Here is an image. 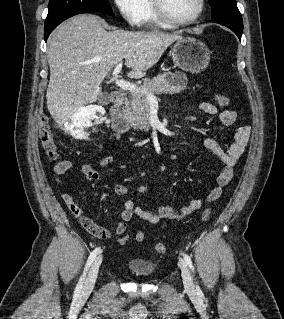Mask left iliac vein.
<instances>
[{"label": "left iliac vein", "instance_id": "left-iliac-vein-1", "mask_svg": "<svg viewBox=\"0 0 284 319\" xmlns=\"http://www.w3.org/2000/svg\"><path fill=\"white\" fill-rule=\"evenodd\" d=\"M179 266L181 269V274H182V280L184 284V288L188 293H195V287L193 283V279L190 273V270L186 264V262L183 259L179 260Z\"/></svg>", "mask_w": 284, "mask_h": 319}]
</instances>
